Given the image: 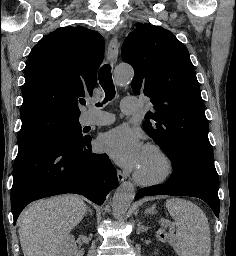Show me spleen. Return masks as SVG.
Returning <instances> with one entry per match:
<instances>
[{"label": "spleen", "instance_id": "3e777b00", "mask_svg": "<svg viewBox=\"0 0 236 256\" xmlns=\"http://www.w3.org/2000/svg\"><path fill=\"white\" fill-rule=\"evenodd\" d=\"M166 208L177 226L181 256H210V228L204 212L181 198L167 200Z\"/></svg>", "mask_w": 236, "mask_h": 256}]
</instances>
